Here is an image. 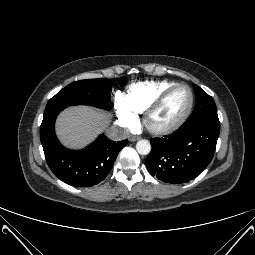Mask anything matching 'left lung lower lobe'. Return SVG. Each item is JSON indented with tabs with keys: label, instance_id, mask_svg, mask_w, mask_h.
Wrapping results in <instances>:
<instances>
[{
	"label": "left lung lower lobe",
	"instance_id": "1",
	"mask_svg": "<svg viewBox=\"0 0 255 255\" xmlns=\"http://www.w3.org/2000/svg\"><path fill=\"white\" fill-rule=\"evenodd\" d=\"M220 125L180 127L163 138H151L146 166L159 180L180 184L197 177L211 162Z\"/></svg>",
	"mask_w": 255,
	"mask_h": 255
}]
</instances>
